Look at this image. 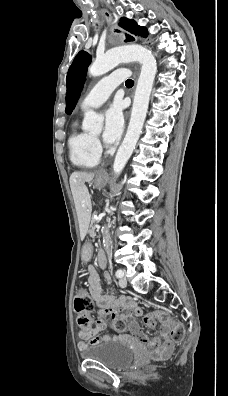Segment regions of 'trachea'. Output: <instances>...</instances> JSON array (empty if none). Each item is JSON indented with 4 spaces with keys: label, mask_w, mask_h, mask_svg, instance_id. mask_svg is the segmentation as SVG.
<instances>
[{
    "label": "trachea",
    "mask_w": 228,
    "mask_h": 396,
    "mask_svg": "<svg viewBox=\"0 0 228 396\" xmlns=\"http://www.w3.org/2000/svg\"><path fill=\"white\" fill-rule=\"evenodd\" d=\"M125 84H126V86H130V85H133V84H134V81L131 80V79H128V80L125 82Z\"/></svg>",
    "instance_id": "3493384b"
}]
</instances>
